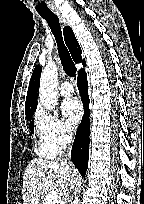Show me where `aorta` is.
Masks as SVG:
<instances>
[{
  "mask_svg": "<svg viewBox=\"0 0 144 204\" xmlns=\"http://www.w3.org/2000/svg\"><path fill=\"white\" fill-rule=\"evenodd\" d=\"M58 69L55 64L48 63L42 71L39 85L40 103L48 110H53L57 103ZM71 204H80L78 197Z\"/></svg>",
  "mask_w": 144,
  "mask_h": 204,
  "instance_id": "obj_1",
  "label": "aorta"
}]
</instances>
